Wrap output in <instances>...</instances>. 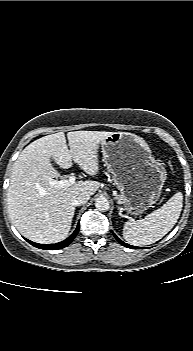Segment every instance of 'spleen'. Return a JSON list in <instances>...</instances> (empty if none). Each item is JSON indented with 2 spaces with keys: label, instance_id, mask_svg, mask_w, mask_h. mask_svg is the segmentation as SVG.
I'll list each match as a JSON object with an SVG mask.
<instances>
[{
  "label": "spleen",
  "instance_id": "obj_1",
  "mask_svg": "<svg viewBox=\"0 0 193 351\" xmlns=\"http://www.w3.org/2000/svg\"><path fill=\"white\" fill-rule=\"evenodd\" d=\"M182 206L183 195L177 192L160 209L144 219L127 221L123 228L124 239L136 246L149 245L160 240L176 224Z\"/></svg>",
  "mask_w": 193,
  "mask_h": 351
}]
</instances>
